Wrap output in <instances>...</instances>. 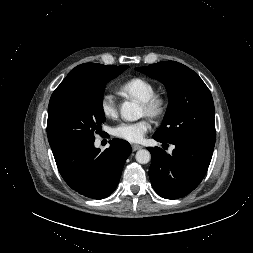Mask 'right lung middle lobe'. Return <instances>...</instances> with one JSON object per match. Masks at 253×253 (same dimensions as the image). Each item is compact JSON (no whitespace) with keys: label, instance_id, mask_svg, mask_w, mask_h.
I'll return each mask as SVG.
<instances>
[{"label":"right lung middle lobe","instance_id":"obj_1","mask_svg":"<svg viewBox=\"0 0 253 253\" xmlns=\"http://www.w3.org/2000/svg\"><path fill=\"white\" fill-rule=\"evenodd\" d=\"M129 66H115L93 77L59 85L48 107L47 135L52 150L92 140L105 121L103 94L106 83Z\"/></svg>","mask_w":253,"mask_h":253}]
</instances>
